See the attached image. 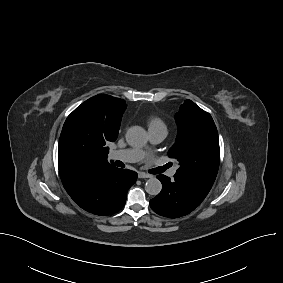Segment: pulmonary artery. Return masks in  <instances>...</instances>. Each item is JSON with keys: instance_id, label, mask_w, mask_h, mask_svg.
I'll return each mask as SVG.
<instances>
[{"instance_id": "pulmonary-artery-1", "label": "pulmonary artery", "mask_w": 283, "mask_h": 283, "mask_svg": "<svg viewBox=\"0 0 283 283\" xmlns=\"http://www.w3.org/2000/svg\"><path fill=\"white\" fill-rule=\"evenodd\" d=\"M150 140L153 144L162 142L167 136V130L164 128L149 129ZM144 157V152L140 149H124L115 150L110 153V159L120 160L123 162H138ZM176 173V168H173L169 175L173 177Z\"/></svg>"}]
</instances>
